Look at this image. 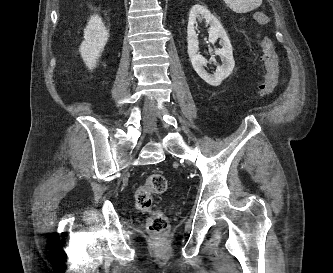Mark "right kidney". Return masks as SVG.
<instances>
[{
    "mask_svg": "<svg viewBox=\"0 0 333 273\" xmlns=\"http://www.w3.org/2000/svg\"><path fill=\"white\" fill-rule=\"evenodd\" d=\"M108 38L109 32L101 18L98 16L91 17L84 29L85 40L79 49L83 61L90 70L96 67V61L100 57Z\"/></svg>",
    "mask_w": 333,
    "mask_h": 273,
    "instance_id": "right-kidney-1",
    "label": "right kidney"
}]
</instances>
